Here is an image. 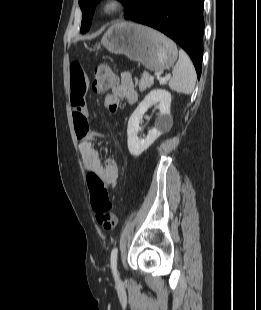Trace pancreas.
I'll list each match as a JSON object with an SVG mask.
<instances>
[{
	"instance_id": "1",
	"label": "pancreas",
	"mask_w": 261,
	"mask_h": 310,
	"mask_svg": "<svg viewBox=\"0 0 261 310\" xmlns=\"http://www.w3.org/2000/svg\"><path fill=\"white\" fill-rule=\"evenodd\" d=\"M154 78L150 76L147 72H144L139 80V90L141 92L145 91L147 88L153 85Z\"/></svg>"
}]
</instances>
